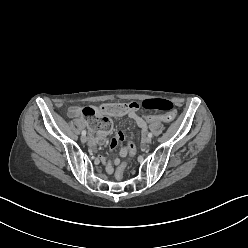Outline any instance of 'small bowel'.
Returning <instances> with one entry per match:
<instances>
[{
	"label": "small bowel",
	"mask_w": 248,
	"mask_h": 248,
	"mask_svg": "<svg viewBox=\"0 0 248 248\" xmlns=\"http://www.w3.org/2000/svg\"><path fill=\"white\" fill-rule=\"evenodd\" d=\"M106 105L108 104H105V105H93L91 108H93L96 112V115L98 117H103V116H113V115H109L107 114L105 108H106ZM137 109H130L128 111H126L123 115L125 116H128L129 118H131L132 120L135 121V123L142 129V133L144 134L146 131H147V128H148V124L147 126H144L142 123H141V120L143 119V115H139L137 112H136ZM68 116L71 117V118H79V117H82V108L79 107V106H71L69 109H68ZM122 115V116H123ZM155 116V115H154ZM90 124L87 123V126H89ZM125 139V135L123 132L121 131H118L115 133L114 136H112L110 139H109V145L111 148H114L119 142L123 141ZM120 156L121 157H124L127 155V147H122L120 152H119ZM103 162L105 164V169H106V172L108 174H112L113 173V165H118L120 160L119 158H116L114 160H109V159H103Z\"/></svg>",
	"instance_id": "small-bowel-1"
}]
</instances>
